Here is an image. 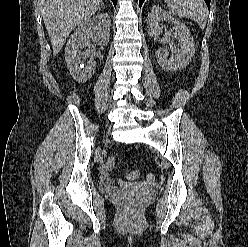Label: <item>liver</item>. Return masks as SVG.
I'll return each instance as SVG.
<instances>
[{
  "label": "liver",
  "mask_w": 248,
  "mask_h": 247,
  "mask_svg": "<svg viewBox=\"0 0 248 247\" xmlns=\"http://www.w3.org/2000/svg\"><path fill=\"white\" fill-rule=\"evenodd\" d=\"M102 0H42V17L53 54L57 55L71 31L101 5Z\"/></svg>",
  "instance_id": "obj_1"
}]
</instances>
